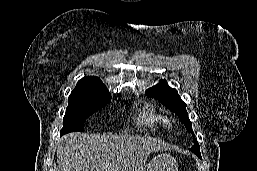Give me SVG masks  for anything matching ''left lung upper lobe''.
Listing matches in <instances>:
<instances>
[{
	"label": "left lung upper lobe",
	"instance_id": "5c2ea615",
	"mask_svg": "<svg viewBox=\"0 0 257 171\" xmlns=\"http://www.w3.org/2000/svg\"><path fill=\"white\" fill-rule=\"evenodd\" d=\"M146 94L160 100L163 105L179 116L187 131L193 133L192 123L186 111V104L181 100L177 91L170 88L165 80H161L157 85L147 89ZM194 144L190 150L193 153L200 154V146L196 143L195 139Z\"/></svg>",
	"mask_w": 257,
	"mask_h": 171
}]
</instances>
